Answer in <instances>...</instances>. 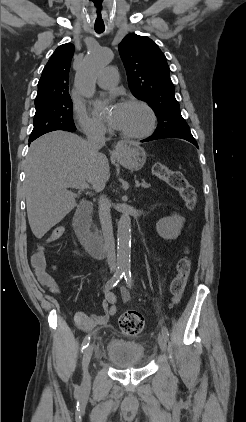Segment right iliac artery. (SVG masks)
Instances as JSON below:
<instances>
[{"label": "right iliac artery", "mask_w": 246, "mask_h": 422, "mask_svg": "<svg viewBox=\"0 0 246 422\" xmlns=\"http://www.w3.org/2000/svg\"><path fill=\"white\" fill-rule=\"evenodd\" d=\"M124 276V270L122 269H118L116 271V273L114 274V276L106 283L105 285V290L108 291L110 290L112 287H114L115 285H117V283L122 279V277ZM90 335H87L81 345V351L83 352L86 347L89 345L90 343Z\"/></svg>", "instance_id": "1"}]
</instances>
